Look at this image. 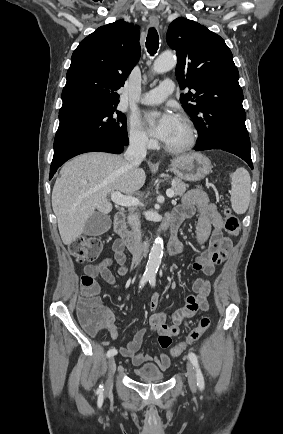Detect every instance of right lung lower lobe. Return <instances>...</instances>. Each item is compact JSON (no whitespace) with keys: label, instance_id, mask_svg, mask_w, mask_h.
I'll return each instance as SVG.
<instances>
[{"label":"right lung lower lobe","instance_id":"right-lung-lower-lobe-1","mask_svg":"<svg viewBox=\"0 0 283 434\" xmlns=\"http://www.w3.org/2000/svg\"><path fill=\"white\" fill-rule=\"evenodd\" d=\"M125 144L106 137H96L79 140L54 153L50 167L49 179L56 170L70 158L86 152L122 153Z\"/></svg>","mask_w":283,"mask_h":434}]
</instances>
